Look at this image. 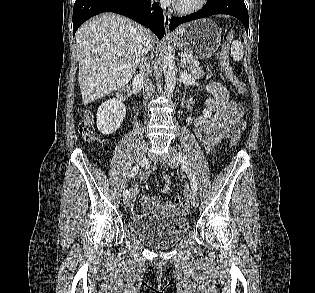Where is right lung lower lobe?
<instances>
[{
	"mask_svg": "<svg viewBox=\"0 0 315 293\" xmlns=\"http://www.w3.org/2000/svg\"><path fill=\"white\" fill-rule=\"evenodd\" d=\"M150 0H76L73 8V34L90 17L102 12L127 16L148 27L159 39L164 36V18L158 3L150 12Z\"/></svg>",
	"mask_w": 315,
	"mask_h": 293,
	"instance_id": "98d812e1",
	"label": "right lung lower lobe"
}]
</instances>
